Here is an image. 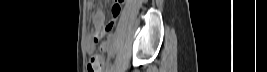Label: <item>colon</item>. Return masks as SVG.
<instances>
[{
    "instance_id": "1",
    "label": "colon",
    "mask_w": 267,
    "mask_h": 72,
    "mask_svg": "<svg viewBox=\"0 0 267 72\" xmlns=\"http://www.w3.org/2000/svg\"><path fill=\"white\" fill-rule=\"evenodd\" d=\"M114 6V10L115 11H119L120 10V1H116ZM115 22H109L106 26V31H111L114 27ZM101 69V64L100 61L93 57L92 59H90L89 63H88V70L89 72H100Z\"/></svg>"
}]
</instances>
